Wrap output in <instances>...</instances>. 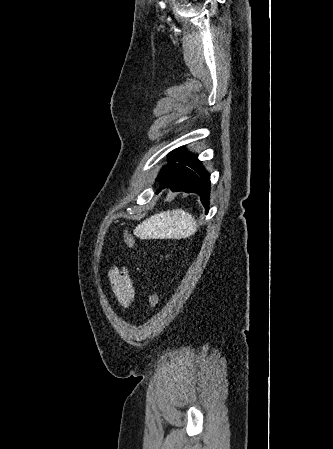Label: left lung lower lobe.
<instances>
[{
  "mask_svg": "<svg viewBox=\"0 0 333 449\" xmlns=\"http://www.w3.org/2000/svg\"><path fill=\"white\" fill-rule=\"evenodd\" d=\"M159 180L161 189L169 187L172 191L197 193L208 212L210 174L202 167L196 155L190 154L184 163Z\"/></svg>",
  "mask_w": 333,
  "mask_h": 449,
  "instance_id": "0a47b994",
  "label": "left lung lower lobe"
}]
</instances>
